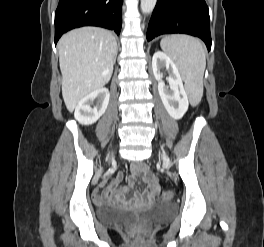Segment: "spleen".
Instances as JSON below:
<instances>
[{
  "label": "spleen",
  "mask_w": 264,
  "mask_h": 247,
  "mask_svg": "<svg viewBox=\"0 0 264 247\" xmlns=\"http://www.w3.org/2000/svg\"><path fill=\"white\" fill-rule=\"evenodd\" d=\"M160 45L178 67L190 100L197 105L203 95L206 67L205 51L201 42L188 35H170L164 37Z\"/></svg>",
  "instance_id": "obj_1"
}]
</instances>
